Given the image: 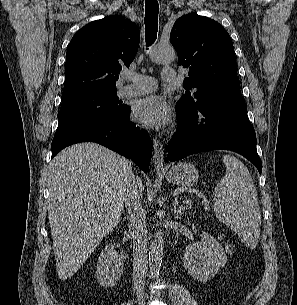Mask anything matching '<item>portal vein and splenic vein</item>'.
Instances as JSON below:
<instances>
[{
	"mask_svg": "<svg viewBox=\"0 0 297 305\" xmlns=\"http://www.w3.org/2000/svg\"><path fill=\"white\" fill-rule=\"evenodd\" d=\"M196 195L200 196V197H204L202 192H196Z\"/></svg>",
	"mask_w": 297,
	"mask_h": 305,
	"instance_id": "18ae733b",
	"label": "portal vein and splenic vein"
}]
</instances>
